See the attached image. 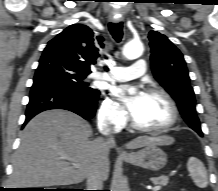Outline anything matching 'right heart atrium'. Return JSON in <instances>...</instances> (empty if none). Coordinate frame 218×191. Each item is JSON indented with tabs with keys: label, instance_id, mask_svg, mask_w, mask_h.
Here are the masks:
<instances>
[{
	"label": "right heart atrium",
	"instance_id": "obj_1",
	"mask_svg": "<svg viewBox=\"0 0 218 191\" xmlns=\"http://www.w3.org/2000/svg\"><path fill=\"white\" fill-rule=\"evenodd\" d=\"M98 118L102 124L119 129L125 125L127 114L118 102L107 96L99 108Z\"/></svg>",
	"mask_w": 218,
	"mask_h": 191
}]
</instances>
